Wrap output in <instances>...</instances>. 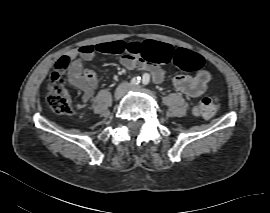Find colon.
Instances as JSON below:
<instances>
[{
  "label": "colon",
  "mask_w": 270,
  "mask_h": 213,
  "mask_svg": "<svg viewBox=\"0 0 270 213\" xmlns=\"http://www.w3.org/2000/svg\"><path fill=\"white\" fill-rule=\"evenodd\" d=\"M102 50L112 54H130L134 56H148L149 49L137 42L113 41L102 46ZM65 57L60 58L59 63H64ZM173 63L188 71L197 70L201 67L202 57L196 53L180 52L175 56ZM50 88L46 99L50 107L58 114L72 113V100L69 92L64 88L65 77L59 68H54L50 75ZM219 107L217 96L205 97L201 99L194 108V113L203 118L213 116Z\"/></svg>",
  "instance_id": "obj_1"
}]
</instances>
